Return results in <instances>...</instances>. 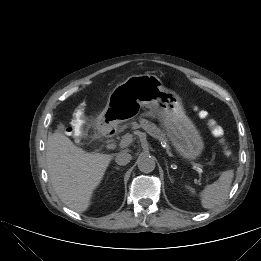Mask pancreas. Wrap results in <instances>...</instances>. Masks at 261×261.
<instances>
[{"label":"pancreas","instance_id":"cf45deb5","mask_svg":"<svg viewBox=\"0 0 261 261\" xmlns=\"http://www.w3.org/2000/svg\"><path fill=\"white\" fill-rule=\"evenodd\" d=\"M132 128L137 129V128H143L149 135H151L153 138L165 142L166 137L163 131L158 128L154 123L150 122L147 119L141 118L139 120V123L133 122L132 123Z\"/></svg>","mask_w":261,"mask_h":261}]
</instances>
